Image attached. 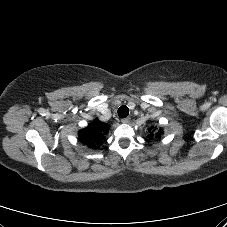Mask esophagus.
Listing matches in <instances>:
<instances>
[{
  "mask_svg": "<svg viewBox=\"0 0 227 227\" xmlns=\"http://www.w3.org/2000/svg\"><path fill=\"white\" fill-rule=\"evenodd\" d=\"M121 122L127 124V123L130 122V118H129V117L122 118V119H121Z\"/></svg>",
  "mask_w": 227,
  "mask_h": 227,
  "instance_id": "1",
  "label": "esophagus"
}]
</instances>
